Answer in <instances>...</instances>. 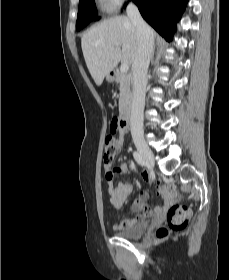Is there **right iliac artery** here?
<instances>
[{"instance_id": "obj_1", "label": "right iliac artery", "mask_w": 229, "mask_h": 280, "mask_svg": "<svg viewBox=\"0 0 229 280\" xmlns=\"http://www.w3.org/2000/svg\"><path fill=\"white\" fill-rule=\"evenodd\" d=\"M133 157L139 165L145 166V160L142 158V156L137 151L133 152Z\"/></svg>"}]
</instances>
